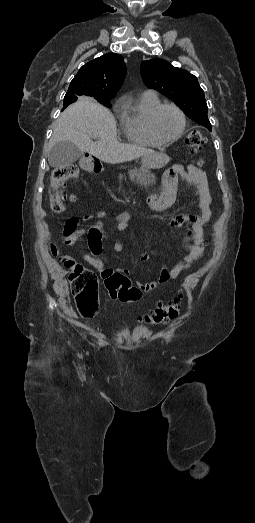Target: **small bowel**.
Wrapping results in <instances>:
<instances>
[{
  "instance_id": "c3829d8e",
  "label": "small bowel",
  "mask_w": 255,
  "mask_h": 523,
  "mask_svg": "<svg viewBox=\"0 0 255 523\" xmlns=\"http://www.w3.org/2000/svg\"><path fill=\"white\" fill-rule=\"evenodd\" d=\"M177 172L181 177L192 187L196 189L197 201L196 205L199 209L198 214H180L169 222V227L172 229L178 228L185 223L191 226L187 230L184 237V244L187 252L172 266H165L160 273L148 282L138 283V287L144 292H150L157 286L162 285L168 281L177 278L183 271L188 269L192 263L199 259L205 249L204 242V225L210 220L211 211V193L207 177L204 172L197 169L194 165H189L186 168L178 167ZM176 193L170 190L166 195H156L150 198V207L152 210H161L168 207L174 201ZM96 217L101 220L106 217L105 212H98ZM130 218L129 212L120 213L117 216L118 232H122L128 228V221ZM93 219L92 215H85L83 220L88 222ZM105 237L103 225L98 221L88 229L78 227V221L74 218L68 219L63 229V242L66 245H74L86 238L89 253H84L83 258L87 261L103 278L107 274L114 273L112 269L106 267L105 258L102 255V241ZM125 244L123 242H116L114 249L117 252L123 251ZM149 254L142 255V260H148ZM119 273L127 275V270H119Z\"/></svg>"
}]
</instances>
